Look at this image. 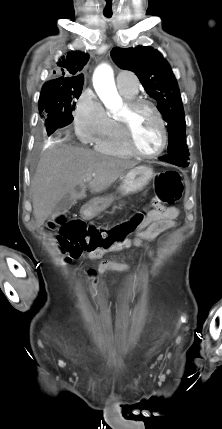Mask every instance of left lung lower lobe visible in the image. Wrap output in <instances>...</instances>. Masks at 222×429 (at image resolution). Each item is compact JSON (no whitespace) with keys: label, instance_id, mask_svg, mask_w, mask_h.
<instances>
[{"label":"left lung lower lobe","instance_id":"0a47b994","mask_svg":"<svg viewBox=\"0 0 222 429\" xmlns=\"http://www.w3.org/2000/svg\"><path fill=\"white\" fill-rule=\"evenodd\" d=\"M162 161L174 164L179 167H187L189 165V157H184L176 154H168L159 158Z\"/></svg>","mask_w":222,"mask_h":429}]
</instances>
